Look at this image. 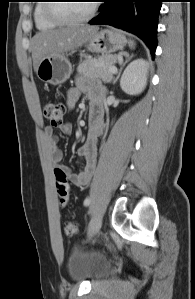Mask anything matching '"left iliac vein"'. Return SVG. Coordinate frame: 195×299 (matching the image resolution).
<instances>
[{
    "label": "left iliac vein",
    "mask_w": 195,
    "mask_h": 299,
    "mask_svg": "<svg viewBox=\"0 0 195 299\" xmlns=\"http://www.w3.org/2000/svg\"><path fill=\"white\" fill-rule=\"evenodd\" d=\"M102 225V217L100 214H96L93 216V218L90 221V232H89V236H94L98 233V231L100 230Z\"/></svg>",
    "instance_id": "4c4485c4"
}]
</instances>
